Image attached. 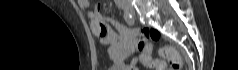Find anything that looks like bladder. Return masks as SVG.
Wrapping results in <instances>:
<instances>
[{
    "label": "bladder",
    "instance_id": "1",
    "mask_svg": "<svg viewBox=\"0 0 238 70\" xmlns=\"http://www.w3.org/2000/svg\"><path fill=\"white\" fill-rule=\"evenodd\" d=\"M109 70H118V69H116L115 67H111Z\"/></svg>",
    "mask_w": 238,
    "mask_h": 70
}]
</instances>
